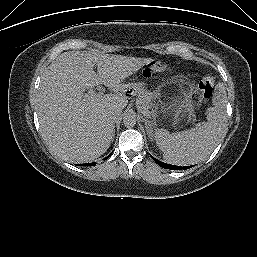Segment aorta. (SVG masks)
I'll use <instances>...</instances> for the list:
<instances>
[{"instance_id":"obj_1","label":"aorta","mask_w":257,"mask_h":257,"mask_svg":"<svg viewBox=\"0 0 257 257\" xmlns=\"http://www.w3.org/2000/svg\"><path fill=\"white\" fill-rule=\"evenodd\" d=\"M137 122V117L134 112H129L123 117V123L127 128L134 127Z\"/></svg>"}]
</instances>
